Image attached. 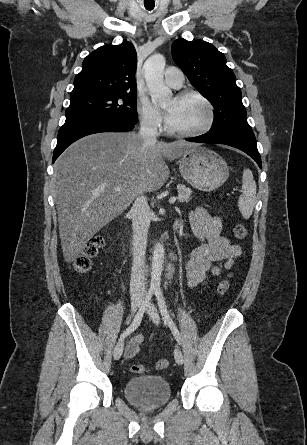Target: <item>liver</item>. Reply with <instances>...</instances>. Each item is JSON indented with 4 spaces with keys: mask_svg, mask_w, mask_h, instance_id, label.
Segmentation results:
<instances>
[{
    "mask_svg": "<svg viewBox=\"0 0 307 445\" xmlns=\"http://www.w3.org/2000/svg\"><path fill=\"white\" fill-rule=\"evenodd\" d=\"M199 142L147 144L135 132H97L73 142L54 164V196L66 263L121 214L141 190H158L169 178V160ZM120 186V190H116Z\"/></svg>",
    "mask_w": 307,
    "mask_h": 445,
    "instance_id": "liver-1",
    "label": "liver"
}]
</instances>
